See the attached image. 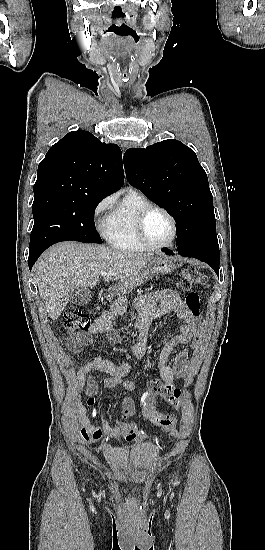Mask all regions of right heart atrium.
Instances as JSON below:
<instances>
[{"instance_id":"obj_1","label":"right heart atrium","mask_w":265,"mask_h":550,"mask_svg":"<svg viewBox=\"0 0 265 550\" xmlns=\"http://www.w3.org/2000/svg\"><path fill=\"white\" fill-rule=\"evenodd\" d=\"M111 203H112V198L105 197L101 199L95 207L94 217H95L96 224L101 231H104V222L102 220V216L104 215L108 207L111 205Z\"/></svg>"}]
</instances>
